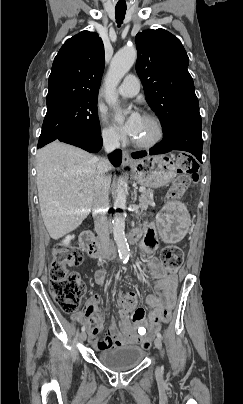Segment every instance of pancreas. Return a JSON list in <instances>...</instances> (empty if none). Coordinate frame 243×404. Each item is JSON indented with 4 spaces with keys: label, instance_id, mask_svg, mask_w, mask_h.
<instances>
[{
    "label": "pancreas",
    "instance_id": "cf45deb5",
    "mask_svg": "<svg viewBox=\"0 0 243 404\" xmlns=\"http://www.w3.org/2000/svg\"><path fill=\"white\" fill-rule=\"evenodd\" d=\"M144 188H148V190H144V192H142L139 200H140V206H141V210H147L148 206H150L151 204V200L153 198L152 194V190H150L149 186H145Z\"/></svg>",
    "mask_w": 243,
    "mask_h": 404
}]
</instances>
